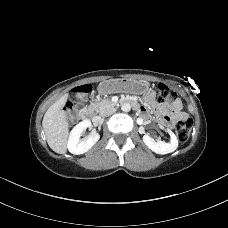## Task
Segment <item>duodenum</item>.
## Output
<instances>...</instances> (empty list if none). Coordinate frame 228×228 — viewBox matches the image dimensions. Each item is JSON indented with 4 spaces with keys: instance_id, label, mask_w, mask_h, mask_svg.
<instances>
[{
    "instance_id": "410a0bca",
    "label": "duodenum",
    "mask_w": 228,
    "mask_h": 228,
    "mask_svg": "<svg viewBox=\"0 0 228 228\" xmlns=\"http://www.w3.org/2000/svg\"><path fill=\"white\" fill-rule=\"evenodd\" d=\"M121 104H130L135 108L139 107L138 103L134 100H125ZM79 117L84 121H90L93 118V111L91 109H85L79 114Z\"/></svg>"
}]
</instances>
